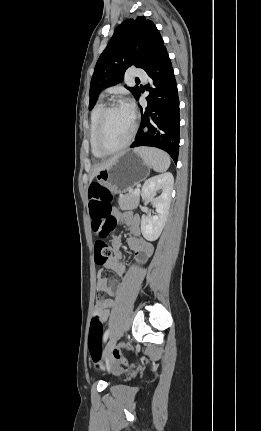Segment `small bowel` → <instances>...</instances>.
<instances>
[{
	"label": "small bowel",
	"instance_id": "1",
	"mask_svg": "<svg viewBox=\"0 0 261 431\" xmlns=\"http://www.w3.org/2000/svg\"><path fill=\"white\" fill-rule=\"evenodd\" d=\"M117 218L125 222L130 230L131 236L127 239L128 247L135 253L136 261L140 264L146 262L153 252V246L141 237L140 218L131 213H118ZM122 243L119 238L112 240V248L114 256L106 263L99 265L101 269L97 274V290L108 296H115L118 293V284L112 278L103 277V269L114 271L117 275H123L126 271L121 255ZM113 306L111 298L106 299L101 303H96L95 314L99 316L102 322H105L109 315L110 309Z\"/></svg>",
	"mask_w": 261,
	"mask_h": 431
}]
</instances>
